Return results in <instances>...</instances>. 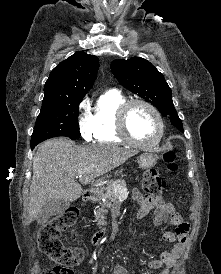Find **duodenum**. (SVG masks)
<instances>
[{
  "label": "duodenum",
  "mask_w": 221,
  "mask_h": 274,
  "mask_svg": "<svg viewBox=\"0 0 221 274\" xmlns=\"http://www.w3.org/2000/svg\"><path fill=\"white\" fill-rule=\"evenodd\" d=\"M97 193H98V191L95 188L87 189L83 193V200L86 202L90 201L97 195ZM103 236H104L103 232H97L92 238V243L94 245L98 244L101 241V239L103 238Z\"/></svg>",
  "instance_id": "obj_1"
}]
</instances>
